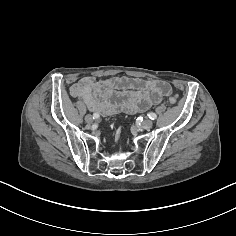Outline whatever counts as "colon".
Returning a JSON list of instances; mask_svg holds the SVG:
<instances>
[{"label": "colon", "mask_w": 236, "mask_h": 236, "mask_svg": "<svg viewBox=\"0 0 236 236\" xmlns=\"http://www.w3.org/2000/svg\"><path fill=\"white\" fill-rule=\"evenodd\" d=\"M178 102H179V98H178V96H171L170 98H169V103L171 104V105H176V104H178Z\"/></svg>", "instance_id": "1"}]
</instances>
